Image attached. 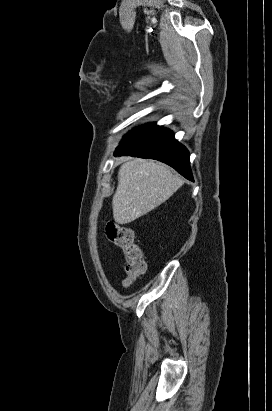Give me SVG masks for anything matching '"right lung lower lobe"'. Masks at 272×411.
<instances>
[{"instance_id": "obj_1", "label": "right lung lower lobe", "mask_w": 272, "mask_h": 411, "mask_svg": "<svg viewBox=\"0 0 272 411\" xmlns=\"http://www.w3.org/2000/svg\"><path fill=\"white\" fill-rule=\"evenodd\" d=\"M115 153L159 160L173 167L186 179L194 180L189 152L175 140L173 132L169 129L153 125L122 139Z\"/></svg>"}]
</instances>
